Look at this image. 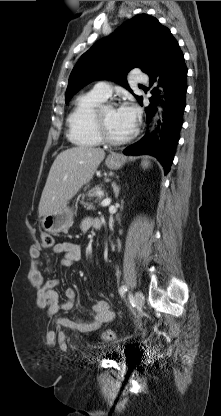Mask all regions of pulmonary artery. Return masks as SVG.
I'll return each mask as SVG.
<instances>
[{
    "instance_id": "1",
    "label": "pulmonary artery",
    "mask_w": 221,
    "mask_h": 416,
    "mask_svg": "<svg viewBox=\"0 0 221 416\" xmlns=\"http://www.w3.org/2000/svg\"><path fill=\"white\" fill-rule=\"evenodd\" d=\"M132 73L134 75V81L135 82L145 83V82L148 81V76L141 73L140 70H137V69L132 70ZM92 91L97 93L101 97L107 99L108 97H110V95L112 93V87L107 82H98L93 86Z\"/></svg>"
}]
</instances>
